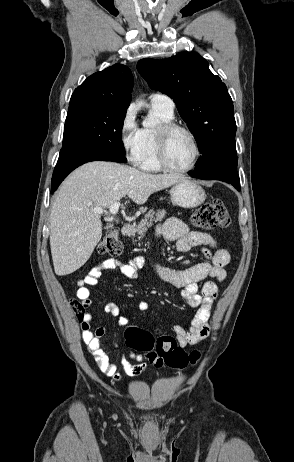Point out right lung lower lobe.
I'll list each match as a JSON object with an SVG mask.
<instances>
[{
    "instance_id": "1",
    "label": "right lung lower lobe",
    "mask_w": 294,
    "mask_h": 462,
    "mask_svg": "<svg viewBox=\"0 0 294 462\" xmlns=\"http://www.w3.org/2000/svg\"><path fill=\"white\" fill-rule=\"evenodd\" d=\"M114 161L125 163L127 159L125 155L118 153H106L99 155H90L85 157H79L64 162L57 163L53 172L52 181H51V193H53L60 183L77 167L80 165L91 162V161Z\"/></svg>"
}]
</instances>
